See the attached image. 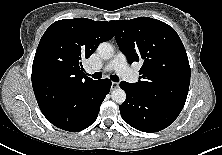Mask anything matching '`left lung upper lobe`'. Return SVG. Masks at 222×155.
I'll return each mask as SVG.
<instances>
[{
  "instance_id": "left-lung-upper-lobe-1",
  "label": "left lung upper lobe",
  "mask_w": 222,
  "mask_h": 155,
  "mask_svg": "<svg viewBox=\"0 0 222 155\" xmlns=\"http://www.w3.org/2000/svg\"><path fill=\"white\" fill-rule=\"evenodd\" d=\"M115 39L129 64L141 62V93L183 107L190 84L184 45L168 24L149 17L111 21Z\"/></svg>"
}]
</instances>
